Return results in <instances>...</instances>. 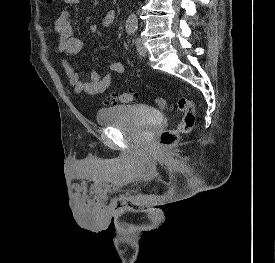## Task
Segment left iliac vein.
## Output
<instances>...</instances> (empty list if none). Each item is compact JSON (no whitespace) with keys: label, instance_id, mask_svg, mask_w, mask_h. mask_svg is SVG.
<instances>
[{"label":"left iliac vein","instance_id":"obj_1","mask_svg":"<svg viewBox=\"0 0 275 263\" xmlns=\"http://www.w3.org/2000/svg\"><path fill=\"white\" fill-rule=\"evenodd\" d=\"M137 52L140 56H146L147 50L140 38H136L135 41Z\"/></svg>","mask_w":275,"mask_h":263}]
</instances>
